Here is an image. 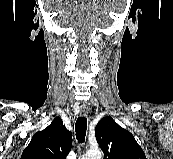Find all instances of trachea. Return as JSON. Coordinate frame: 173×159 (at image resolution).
<instances>
[{
	"label": "trachea",
	"mask_w": 173,
	"mask_h": 159,
	"mask_svg": "<svg viewBox=\"0 0 173 159\" xmlns=\"http://www.w3.org/2000/svg\"><path fill=\"white\" fill-rule=\"evenodd\" d=\"M87 130V119L83 116L78 117L75 123V131H76V138L79 143H83L85 141Z\"/></svg>",
	"instance_id": "1"
}]
</instances>
